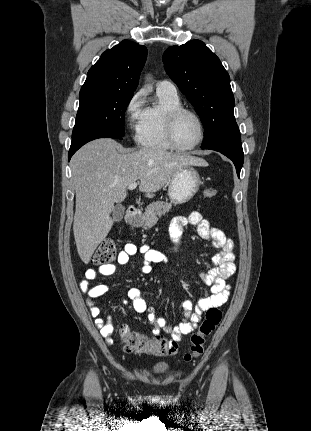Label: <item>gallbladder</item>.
I'll return each instance as SVG.
<instances>
[{"label": "gallbladder", "mask_w": 311, "mask_h": 431, "mask_svg": "<svg viewBox=\"0 0 311 431\" xmlns=\"http://www.w3.org/2000/svg\"><path fill=\"white\" fill-rule=\"evenodd\" d=\"M125 208L121 206V204H117L113 210V219L114 221H122L124 216Z\"/></svg>", "instance_id": "obj_1"}]
</instances>
